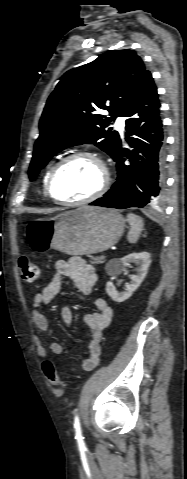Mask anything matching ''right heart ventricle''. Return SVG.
I'll return each instance as SVG.
<instances>
[{"instance_id":"1","label":"right heart ventricle","mask_w":187,"mask_h":479,"mask_svg":"<svg viewBox=\"0 0 187 479\" xmlns=\"http://www.w3.org/2000/svg\"><path fill=\"white\" fill-rule=\"evenodd\" d=\"M51 168H52V166L49 167V168L45 171V173H44V175H43V178H42V183H41V185H42V192H43V194H44L45 196H46V194H45V184H46V180H47V177H48V174H49Z\"/></svg>"}]
</instances>
